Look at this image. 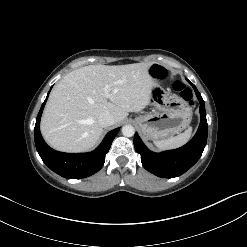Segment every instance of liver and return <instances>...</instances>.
I'll return each mask as SVG.
<instances>
[{
    "label": "liver",
    "mask_w": 247,
    "mask_h": 247,
    "mask_svg": "<svg viewBox=\"0 0 247 247\" xmlns=\"http://www.w3.org/2000/svg\"><path fill=\"white\" fill-rule=\"evenodd\" d=\"M150 66L89 65L65 75L51 92L41 119L46 142L65 152L92 149L103 133L100 114H112L116 124L150 103L151 90L158 84L149 74Z\"/></svg>",
    "instance_id": "6515ba94"
}]
</instances>
